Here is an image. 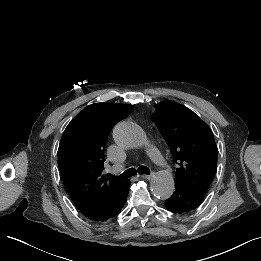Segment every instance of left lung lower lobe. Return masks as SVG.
Masks as SVG:
<instances>
[{
    "label": "left lung lower lobe",
    "mask_w": 261,
    "mask_h": 261,
    "mask_svg": "<svg viewBox=\"0 0 261 261\" xmlns=\"http://www.w3.org/2000/svg\"><path fill=\"white\" fill-rule=\"evenodd\" d=\"M203 199L204 194L181 184H175V192L165 201V206L171 212L184 213L197 208Z\"/></svg>",
    "instance_id": "left-lung-lower-lobe-1"
}]
</instances>
